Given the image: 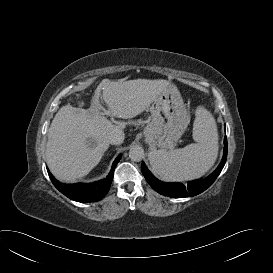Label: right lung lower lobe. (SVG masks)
<instances>
[{"label":"right lung lower lobe","instance_id":"obj_1","mask_svg":"<svg viewBox=\"0 0 273 273\" xmlns=\"http://www.w3.org/2000/svg\"><path fill=\"white\" fill-rule=\"evenodd\" d=\"M122 155H119L115 161L113 162L111 172L108 176L100 181L84 184V183H77V184H63L56 180L50 171L47 168L49 177L53 183V185L65 196L70 198L71 200L77 202H96L101 200L108 192L114 170L116 165L118 164L119 160L121 159Z\"/></svg>","mask_w":273,"mask_h":273}]
</instances>
